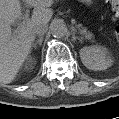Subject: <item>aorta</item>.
<instances>
[{
	"mask_svg": "<svg viewBox=\"0 0 119 119\" xmlns=\"http://www.w3.org/2000/svg\"><path fill=\"white\" fill-rule=\"evenodd\" d=\"M50 31L52 36L55 38H62L68 32L66 25L61 21L53 22L50 26Z\"/></svg>",
	"mask_w": 119,
	"mask_h": 119,
	"instance_id": "762f6f07",
	"label": "aorta"
}]
</instances>
